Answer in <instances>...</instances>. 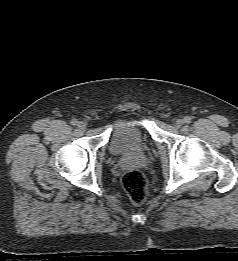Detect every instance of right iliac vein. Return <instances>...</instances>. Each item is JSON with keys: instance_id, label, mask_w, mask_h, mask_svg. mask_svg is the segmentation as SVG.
Returning a JSON list of instances; mask_svg holds the SVG:
<instances>
[{"instance_id": "right-iliac-vein-1", "label": "right iliac vein", "mask_w": 238, "mask_h": 261, "mask_svg": "<svg viewBox=\"0 0 238 261\" xmlns=\"http://www.w3.org/2000/svg\"><path fill=\"white\" fill-rule=\"evenodd\" d=\"M78 127H79L81 130H85V129H86V124H85L84 122H79Z\"/></svg>"}]
</instances>
